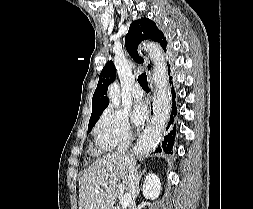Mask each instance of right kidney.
<instances>
[{"mask_svg": "<svg viewBox=\"0 0 253 209\" xmlns=\"http://www.w3.org/2000/svg\"><path fill=\"white\" fill-rule=\"evenodd\" d=\"M161 190V183L158 176L153 173H149L143 183L142 192L146 199L158 198Z\"/></svg>", "mask_w": 253, "mask_h": 209, "instance_id": "obj_1", "label": "right kidney"}]
</instances>
